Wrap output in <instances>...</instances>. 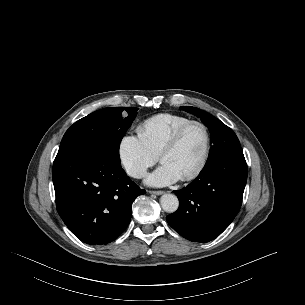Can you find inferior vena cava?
<instances>
[{"instance_id": "1", "label": "inferior vena cava", "mask_w": 305, "mask_h": 305, "mask_svg": "<svg viewBox=\"0 0 305 305\" xmlns=\"http://www.w3.org/2000/svg\"><path fill=\"white\" fill-rule=\"evenodd\" d=\"M127 173L134 178H142L145 176V170L141 167H130Z\"/></svg>"}]
</instances>
